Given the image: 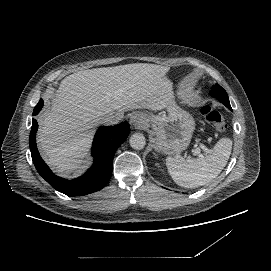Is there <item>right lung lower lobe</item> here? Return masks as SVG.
Segmentation results:
<instances>
[{"instance_id": "right-lung-lower-lobe-1", "label": "right lung lower lobe", "mask_w": 271, "mask_h": 271, "mask_svg": "<svg viewBox=\"0 0 271 271\" xmlns=\"http://www.w3.org/2000/svg\"><path fill=\"white\" fill-rule=\"evenodd\" d=\"M42 107L43 100L40 99L34 108L33 115H37ZM37 128V121L33 119L29 144L35 168L54 189L68 196L90 194L101 190L107 185L112 175L114 154L126 140L130 130L127 122L112 127H100L96 132L92 146L94 164L81 177L74 180H65L54 175L40 157L36 145Z\"/></svg>"}]
</instances>
